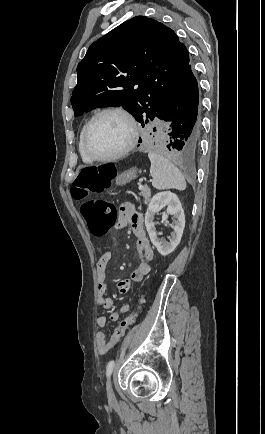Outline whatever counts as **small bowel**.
I'll return each instance as SVG.
<instances>
[{
    "label": "small bowel",
    "mask_w": 265,
    "mask_h": 434,
    "mask_svg": "<svg viewBox=\"0 0 265 434\" xmlns=\"http://www.w3.org/2000/svg\"><path fill=\"white\" fill-rule=\"evenodd\" d=\"M129 226L136 237V249L138 251L140 261L136 269L132 272L130 280L121 279L117 283L119 291L124 295H129L133 291V285L140 282L151 270V261L154 258V250L150 240L145 232L144 217L138 212L131 203H124L119 209V216L115 227L123 229ZM112 259L110 251L104 252L96 264V279H97V304L103 309H112L114 306L113 300L107 294V268ZM130 311L129 305H122L119 311H112L109 319L116 322L120 318L121 313ZM99 327L106 325V317L99 316L97 318ZM107 336L104 331L96 333V343L101 353L110 351L106 348Z\"/></svg>",
    "instance_id": "small-bowel-1"
}]
</instances>
